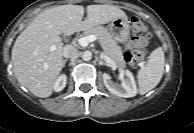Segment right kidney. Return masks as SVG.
<instances>
[{
	"label": "right kidney",
	"instance_id": "ca27d5eb",
	"mask_svg": "<svg viewBox=\"0 0 194 133\" xmlns=\"http://www.w3.org/2000/svg\"><path fill=\"white\" fill-rule=\"evenodd\" d=\"M66 82H67V77L65 74H62L61 76L58 77V79L54 83V90L56 92L63 90L64 87L66 86Z\"/></svg>",
	"mask_w": 194,
	"mask_h": 133
}]
</instances>
